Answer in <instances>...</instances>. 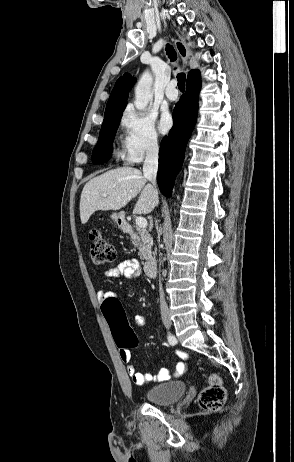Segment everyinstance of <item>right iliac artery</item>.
<instances>
[{"label":"right iliac artery","mask_w":294,"mask_h":462,"mask_svg":"<svg viewBox=\"0 0 294 462\" xmlns=\"http://www.w3.org/2000/svg\"><path fill=\"white\" fill-rule=\"evenodd\" d=\"M168 341L171 345H175L177 343L176 338L171 334L168 335Z\"/></svg>","instance_id":"right-iliac-artery-1"}]
</instances>
